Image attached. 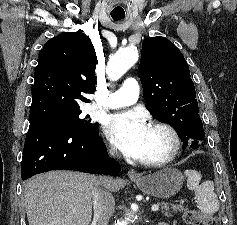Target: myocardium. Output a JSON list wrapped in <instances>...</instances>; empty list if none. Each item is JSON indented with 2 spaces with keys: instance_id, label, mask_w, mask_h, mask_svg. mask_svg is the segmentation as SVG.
Instances as JSON below:
<instances>
[{
  "instance_id": "f54148a6",
  "label": "myocardium",
  "mask_w": 237,
  "mask_h": 225,
  "mask_svg": "<svg viewBox=\"0 0 237 225\" xmlns=\"http://www.w3.org/2000/svg\"><path fill=\"white\" fill-rule=\"evenodd\" d=\"M149 127L164 132L170 139L169 151L160 158L153 159H139V162L146 166L159 167L171 162L178 154L181 147V140L177 131L169 124L153 121L149 124Z\"/></svg>"
}]
</instances>
